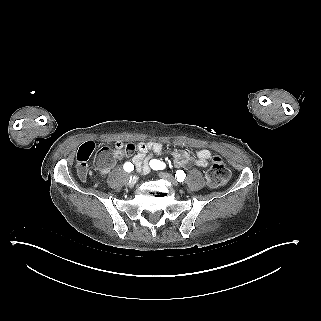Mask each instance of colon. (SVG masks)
I'll use <instances>...</instances> for the list:
<instances>
[{
  "label": "colon",
  "mask_w": 321,
  "mask_h": 321,
  "mask_svg": "<svg viewBox=\"0 0 321 321\" xmlns=\"http://www.w3.org/2000/svg\"><path fill=\"white\" fill-rule=\"evenodd\" d=\"M126 150L134 151L136 149L135 143H128L125 146ZM77 171L79 176L87 177L88 167L87 159L84 155L77 158ZM229 178V170L226 167L223 159L214 155L211 158L209 168L206 172V180L210 186L216 187L223 185Z\"/></svg>",
  "instance_id": "colon-1"
}]
</instances>
